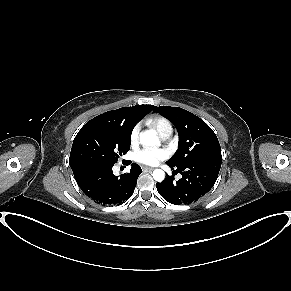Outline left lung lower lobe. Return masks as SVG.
<instances>
[{"label":"left lung lower lobe","mask_w":291,"mask_h":291,"mask_svg":"<svg viewBox=\"0 0 291 291\" xmlns=\"http://www.w3.org/2000/svg\"><path fill=\"white\" fill-rule=\"evenodd\" d=\"M169 165V164H168ZM171 169V165H169ZM221 167V161L199 160L177 167L182 175L178 181L168 176L156 184L158 193L169 203L189 204L205 195L215 184Z\"/></svg>","instance_id":"0a47b994"}]
</instances>
